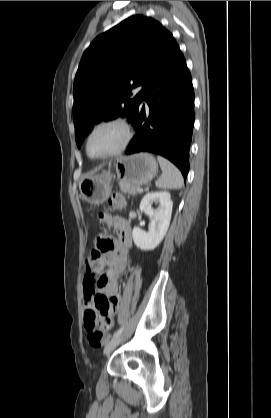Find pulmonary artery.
Listing matches in <instances>:
<instances>
[{
  "label": "pulmonary artery",
  "mask_w": 271,
  "mask_h": 418,
  "mask_svg": "<svg viewBox=\"0 0 271 418\" xmlns=\"http://www.w3.org/2000/svg\"><path fill=\"white\" fill-rule=\"evenodd\" d=\"M141 89H142V86L138 87V89H137V90H141Z\"/></svg>",
  "instance_id": "1"
}]
</instances>
